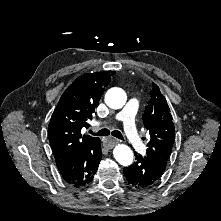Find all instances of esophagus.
I'll use <instances>...</instances> for the list:
<instances>
[{
	"mask_svg": "<svg viewBox=\"0 0 221 221\" xmlns=\"http://www.w3.org/2000/svg\"><path fill=\"white\" fill-rule=\"evenodd\" d=\"M117 143H119V140L111 138V137H107L106 141L103 142V145L106 148H112Z\"/></svg>",
	"mask_w": 221,
	"mask_h": 221,
	"instance_id": "34e87169",
	"label": "esophagus"
}]
</instances>
